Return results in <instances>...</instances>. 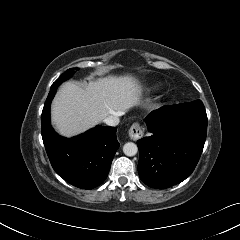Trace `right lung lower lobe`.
<instances>
[{"label":"right lung lower lobe","mask_w":240,"mask_h":240,"mask_svg":"<svg viewBox=\"0 0 240 240\" xmlns=\"http://www.w3.org/2000/svg\"><path fill=\"white\" fill-rule=\"evenodd\" d=\"M56 89L50 91L41 115L43 143L55 172L82 189H92L106 179L120 144L116 128L96 126L73 138H63L50 125V104Z\"/></svg>","instance_id":"obj_1"}]
</instances>
